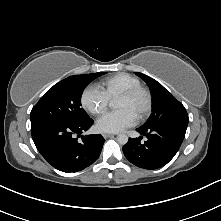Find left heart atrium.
<instances>
[{"mask_svg":"<svg viewBox=\"0 0 221 221\" xmlns=\"http://www.w3.org/2000/svg\"><path fill=\"white\" fill-rule=\"evenodd\" d=\"M135 121L136 117L129 110L121 109L101 116L96 122V127L100 132L116 133L132 126Z\"/></svg>","mask_w":221,"mask_h":221,"instance_id":"39dd6f15","label":"left heart atrium"}]
</instances>
